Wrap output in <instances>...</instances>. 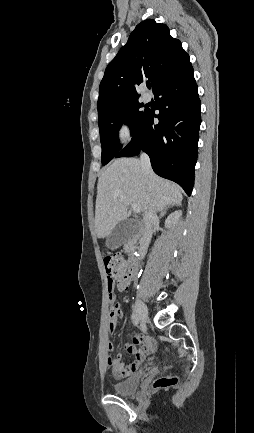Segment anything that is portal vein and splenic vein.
<instances>
[{"label": "portal vein and splenic vein", "mask_w": 254, "mask_h": 433, "mask_svg": "<svg viewBox=\"0 0 254 433\" xmlns=\"http://www.w3.org/2000/svg\"><path fill=\"white\" fill-rule=\"evenodd\" d=\"M131 207L135 213H140L141 209L137 204H131Z\"/></svg>", "instance_id": "obj_1"}]
</instances>
